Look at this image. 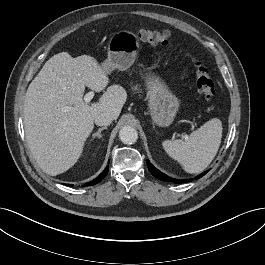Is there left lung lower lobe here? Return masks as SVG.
<instances>
[{
	"label": "left lung lower lobe",
	"instance_id": "obj_1",
	"mask_svg": "<svg viewBox=\"0 0 265 265\" xmlns=\"http://www.w3.org/2000/svg\"><path fill=\"white\" fill-rule=\"evenodd\" d=\"M146 163H147V167L150 171V173L155 176L156 178H158L159 180L162 181H166V182H173V183H186V182H190L191 179H184V180H178V179H174V178H170L167 175L161 173L159 170H157L150 162L148 159H146ZM207 172H204L200 175H198L197 177H195V179H199L200 177L204 176Z\"/></svg>",
	"mask_w": 265,
	"mask_h": 265
}]
</instances>
